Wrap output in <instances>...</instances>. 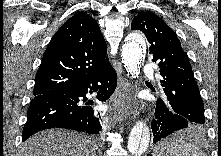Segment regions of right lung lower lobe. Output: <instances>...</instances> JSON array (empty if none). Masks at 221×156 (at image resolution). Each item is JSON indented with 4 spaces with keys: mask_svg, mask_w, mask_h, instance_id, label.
<instances>
[{
    "mask_svg": "<svg viewBox=\"0 0 221 156\" xmlns=\"http://www.w3.org/2000/svg\"><path fill=\"white\" fill-rule=\"evenodd\" d=\"M117 85V74L111 64L99 73L56 95L35 96L27 112L22 141L32 134L49 128H66L97 135L101 130V117L87 102L88 92H97L100 101H106Z\"/></svg>",
    "mask_w": 221,
    "mask_h": 156,
    "instance_id": "98d812e1",
    "label": "right lung lower lobe"
}]
</instances>
